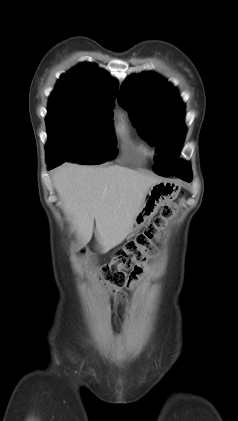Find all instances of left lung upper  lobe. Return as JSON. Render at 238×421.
I'll use <instances>...</instances> for the list:
<instances>
[{"label": "left lung upper lobe", "mask_w": 238, "mask_h": 421, "mask_svg": "<svg viewBox=\"0 0 238 421\" xmlns=\"http://www.w3.org/2000/svg\"><path fill=\"white\" fill-rule=\"evenodd\" d=\"M118 102L130 114L139 134L156 146L154 171L159 175L190 168L189 162L176 160L184 137V104L172 85L155 73L129 76L122 85Z\"/></svg>", "instance_id": "5c2ea615"}]
</instances>
